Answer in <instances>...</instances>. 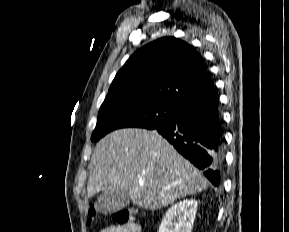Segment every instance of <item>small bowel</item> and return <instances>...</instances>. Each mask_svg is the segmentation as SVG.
I'll list each match as a JSON object with an SVG mask.
<instances>
[{
    "mask_svg": "<svg viewBox=\"0 0 289 232\" xmlns=\"http://www.w3.org/2000/svg\"><path fill=\"white\" fill-rule=\"evenodd\" d=\"M100 232H142V227L137 222H130L124 226L111 225L103 228Z\"/></svg>",
    "mask_w": 289,
    "mask_h": 232,
    "instance_id": "obj_1",
    "label": "small bowel"
}]
</instances>
